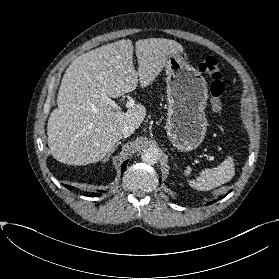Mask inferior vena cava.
Segmentation results:
<instances>
[{"label": "inferior vena cava", "mask_w": 279, "mask_h": 279, "mask_svg": "<svg viewBox=\"0 0 279 279\" xmlns=\"http://www.w3.org/2000/svg\"><path fill=\"white\" fill-rule=\"evenodd\" d=\"M134 131H135V128L133 126H125L120 132L119 139L129 137L130 135H132L134 133Z\"/></svg>", "instance_id": "inferior-vena-cava-1"}]
</instances>
